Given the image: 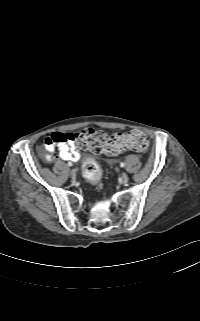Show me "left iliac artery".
<instances>
[{"label":"left iliac artery","mask_w":200,"mask_h":321,"mask_svg":"<svg viewBox=\"0 0 200 321\" xmlns=\"http://www.w3.org/2000/svg\"><path fill=\"white\" fill-rule=\"evenodd\" d=\"M125 166V163L124 162H121L120 163V167H124Z\"/></svg>","instance_id":"44dca946"}]
</instances>
